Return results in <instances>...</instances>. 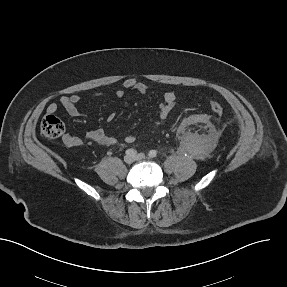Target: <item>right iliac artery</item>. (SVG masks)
<instances>
[{
	"label": "right iliac artery",
	"mask_w": 287,
	"mask_h": 287,
	"mask_svg": "<svg viewBox=\"0 0 287 287\" xmlns=\"http://www.w3.org/2000/svg\"><path fill=\"white\" fill-rule=\"evenodd\" d=\"M125 153L126 155L134 156L137 153V151L135 149H127Z\"/></svg>",
	"instance_id": "obj_1"
}]
</instances>
